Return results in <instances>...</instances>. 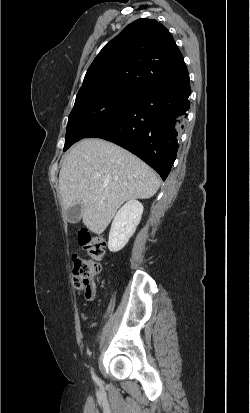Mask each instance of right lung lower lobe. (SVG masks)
Segmentation results:
<instances>
[{
	"label": "right lung lower lobe",
	"instance_id": "right-lung-lower-lobe-1",
	"mask_svg": "<svg viewBox=\"0 0 250 413\" xmlns=\"http://www.w3.org/2000/svg\"><path fill=\"white\" fill-rule=\"evenodd\" d=\"M190 95L189 80L182 85L144 90L119 114L85 138H102L127 149L165 180L176 159Z\"/></svg>",
	"mask_w": 250,
	"mask_h": 413
}]
</instances>
